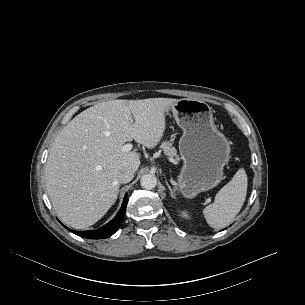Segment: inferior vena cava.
<instances>
[{
    "instance_id": "1",
    "label": "inferior vena cava",
    "mask_w": 305,
    "mask_h": 305,
    "mask_svg": "<svg viewBox=\"0 0 305 305\" xmlns=\"http://www.w3.org/2000/svg\"><path fill=\"white\" fill-rule=\"evenodd\" d=\"M135 171L131 168H125L119 171L117 180L119 183H128L134 177Z\"/></svg>"
}]
</instances>
